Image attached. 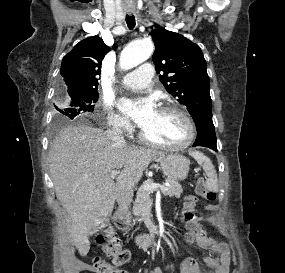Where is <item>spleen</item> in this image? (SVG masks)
<instances>
[{"label":"spleen","instance_id":"1","mask_svg":"<svg viewBox=\"0 0 285 273\" xmlns=\"http://www.w3.org/2000/svg\"><path fill=\"white\" fill-rule=\"evenodd\" d=\"M191 156L203 167L205 174L207 175V186L210 190H218V179L214 165L210 158L206 157L199 151H191Z\"/></svg>","mask_w":285,"mask_h":273}]
</instances>
